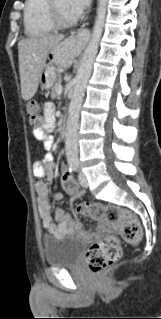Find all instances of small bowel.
Listing matches in <instances>:
<instances>
[{"label":"small bowel","mask_w":161,"mask_h":319,"mask_svg":"<svg viewBox=\"0 0 161 319\" xmlns=\"http://www.w3.org/2000/svg\"><path fill=\"white\" fill-rule=\"evenodd\" d=\"M55 125V106L53 103L48 102L44 108V127L43 129L35 128L33 130V136L36 140L43 144L45 149H55L56 145L52 141V131ZM54 163L49 157L39 158L35 161L33 165V174L36 177H43L46 175L49 179L53 177ZM63 177H67L73 184L74 188L67 191L75 196H80L83 192L78 191L77 183L74 178L67 173L65 168H63ZM36 195H37V205L40 218L44 228L50 232L58 235L65 234L70 231L78 232L81 229L80 223L74 220L72 216L64 212L63 210L56 211L55 215L51 212V206L49 201V188L43 181H37L35 184ZM56 201H62L64 195L62 193H56L54 195ZM57 220V224L55 223ZM117 230L116 228H112ZM107 230V225L100 221L98 224V233L96 237H99L103 232ZM92 236V233H88Z\"/></svg>","instance_id":"obj_1"}]
</instances>
